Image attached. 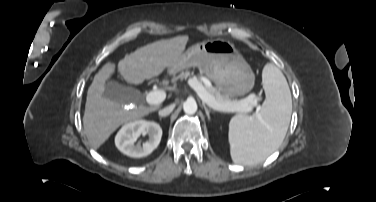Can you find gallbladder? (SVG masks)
<instances>
[{
	"label": "gallbladder",
	"mask_w": 376,
	"mask_h": 202,
	"mask_svg": "<svg viewBox=\"0 0 376 202\" xmlns=\"http://www.w3.org/2000/svg\"><path fill=\"white\" fill-rule=\"evenodd\" d=\"M103 96L116 103L130 104L137 102L139 91L133 87L109 81L105 84Z\"/></svg>",
	"instance_id": "obj_1"
}]
</instances>
